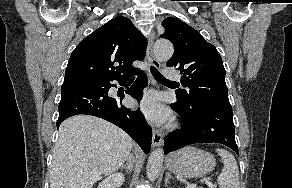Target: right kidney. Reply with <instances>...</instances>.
Here are the masks:
<instances>
[{
  "mask_svg": "<svg viewBox=\"0 0 292 188\" xmlns=\"http://www.w3.org/2000/svg\"><path fill=\"white\" fill-rule=\"evenodd\" d=\"M124 182V176L121 173H114L105 178L97 188H118Z\"/></svg>",
  "mask_w": 292,
  "mask_h": 188,
  "instance_id": "ca27d5eb",
  "label": "right kidney"
}]
</instances>
